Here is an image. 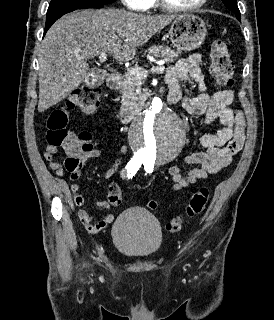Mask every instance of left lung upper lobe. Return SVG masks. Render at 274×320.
<instances>
[{
    "label": "left lung upper lobe",
    "instance_id": "5c2ea615",
    "mask_svg": "<svg viewBox=\"0 0 274 320\" xmlns=\"http://www.w3.org/2000/svg\"><path fill=\"white\" fill-rule=\"evenodd\" d=\"M222 2L234 14H236V15L240 14L236 0H222Z\"/></svg>",
    "mask_w": 274,
    "mask_h": 320
}]
</instances>
